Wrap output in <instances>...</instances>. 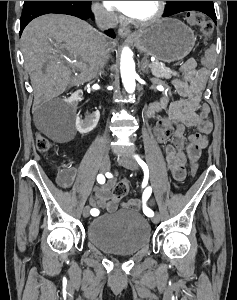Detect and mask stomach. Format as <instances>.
<instances>
[{"label":"stomach","instance_id":"stomach-1","mask_svg":"<svg viewBox=\"0 0 237 300\" xmlns=\"http://www.w3.org/2000/svg\"><path fill=\"white\" fill-rule=\"evenodd\" d=\"M134 35L132 43L137 49L164 63L184 59L196 41L194 31L178 19H159Z\"/></svg>","mask_w":237,"mask_h":300}]
</instances>
